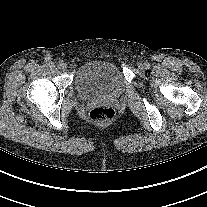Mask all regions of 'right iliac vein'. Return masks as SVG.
<instances>
[{
  "label": "right iliac vein",
  "instance_id": "1",
  "mask_svg": "<svg viewBox=\"0 0 207 207\" xmlns=\"http://www.w3.org/2000/svg\"><path fill=\"white\" fill-rule=\"evenodd\" d=\"M67 68H68V65L65 62H63V64L61 65L60 69L65 71V70H67Z\"/></svg>",
  "mask_w": 207,
  "mask_h": 207
}]
</instances>
